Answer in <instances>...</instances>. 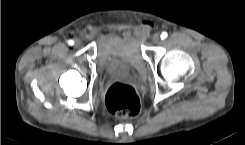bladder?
<instances>
[{
  "instance_id": "obj_1",
  "label": "bladder",
  "mask_w": 245,
  "mask_h": 145,
  "mask_svg": "<svg viewBox=\"0 0 245 145\" xmlns=\"http://www.w3.org/2000/svg\"><path fill=\"white\" fill-rule=\"evenodd\" d=\"M97 64L106 74L112 75L127 69H142L145 59L132 33L108 32L100 38Z\"/></svg>"
}]
</instances>
